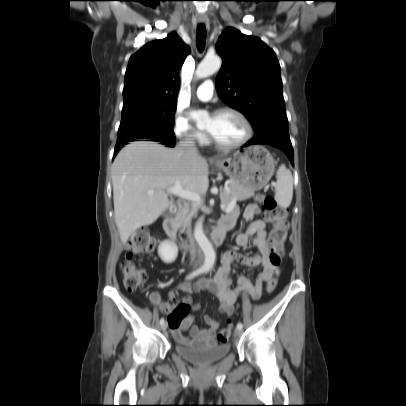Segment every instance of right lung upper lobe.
<instances>
[{
  "instance_id": "obj_1",
  "label": "right lung upper lobe",
  "mask_w": 406,
  "mask_h": 406,
  "mask_svg": "<svg viewBox=\"0 0 406 406\" xmlns=\"http://www.w3.org/2000/svg\"><path fill=\"white\" fill-rule=\"evenodd\" d=\"M189 53V47L175 32L144 45L129 60L123 108L139 104L176 105L179 70Z\"/></svg>"
}]
</instances>
